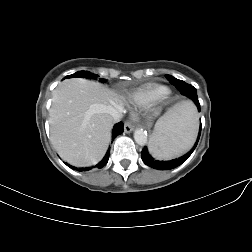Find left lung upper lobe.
Listing matches in <instances>:
<instances>
[{
  "label": "left lung upper lobe",
  "mask_w": 252,
  "mask_h": 252,
  "mask_svg": "<svg viewBox=\"0 0 252 252\" xmlns=\"http://www.w3.org/2000/svg\"><path fill=\"white\" fill-rule=\"evenodd\" d=\"M166 77L169 80V82L172 83L173 85L175 84V82L179 81L178 79H176L170 75H166Z\"/></svg>",
  "instance_id": "1"
}]
</instances>
